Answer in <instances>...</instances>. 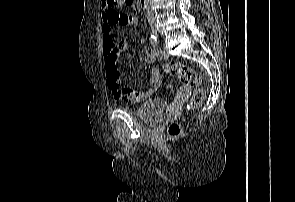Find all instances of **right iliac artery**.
I'll use <instances>...</instances> for the list:
<instances>
[{
  "label": "right iliac artery",
  "instance_id": "1",
  "mask_svg": "<svg viewBox=\"0 0 295 202\" xmlns=\"http://www.w3.org/2000/svg\"><path fill=\"white\" fill-rule=\"evenodd\" d=\"M150 43L153 45V46H156L157 45V37L154 35V34H151L150 35Z\"/></svg>",
  "mask_w": 295,
  "mask_h": 202
}]
</instances>
